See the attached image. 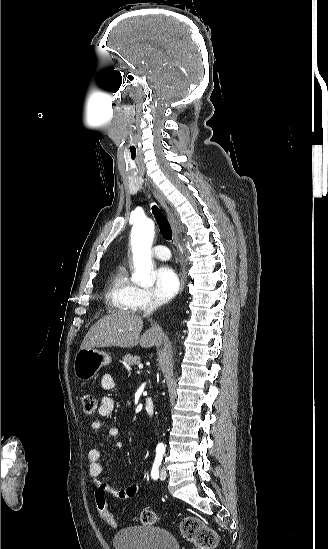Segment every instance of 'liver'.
I'll use <instances>...</instances> for the list:
<instances>
[{"label": "liver", "mask_w": 328, "mask_h": 549, "mask_svg": "<svg viewBox=\"0 0 328 549\" xmlns=\"http://www.w3.org/2000/svg\"><path fill=\"white\" fill-rule=\"evenodd\" d=\"M143 321L140 315L116 311L99 319L89 329L80 349H100V347H154L162 341L163 331L159 325H152L142 337Z\"/></svg>", "instance_id": "liver-1"}]
</instances>
